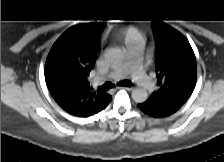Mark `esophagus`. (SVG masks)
Segmentation results:
<instances>
[{"label": "esophagus", "instance_id": "1", "mask_svg": "<svg viewBox=\"0 0 224 162\" xmlns=\"http://www.w3.org/2000/svg\"><path fill=\"white\" fill-rule=\"evenodd\" d=\"M120 88H123V89L129 90V91L133 89L132 87H117L116 89H120Z\"/></svg>", "mask_w": 224, "mask_h": 162}]
</instances>
